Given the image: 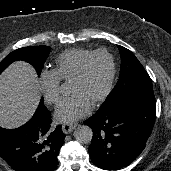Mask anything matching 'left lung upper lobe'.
I'll list each match as a JSON object with an SVG mask.
<instances>
[{
    "instance_id": "1",
    "label": "left lung upper lobe",
    "mask_w": 171,
    "mask_h": 171,
    "mask_svg": "<svg viewBox=\"0 0 171 171\" xmlns=\"http://www.w3.org/2000/svg\"><path fill=\"white\" fill-rule=\"evenodd\" d=\"M117 47L121 55L120 77L98 113L131 99L155 100L152 81L144 67L130 50Z\"/></svg>"
}]
</instances>
